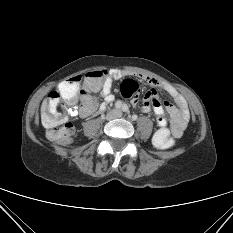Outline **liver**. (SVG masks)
Segmentation results:
<instances>
[{
	"instance_id": "6515ba94",
	"label": "liver",
	"mask_w": 233,
	"mask_h": 233,
	"mask_svg": "<svg viewBox=\"0 0 233 233\" xmlns=\"http://www.w3.org/2000/svg\"><path fill=\"white\" fill-rule=\"evenodd\" d=\"M47 109V99H45L41 106V113L43 114Z\"/></svg>"
}]
</instances>
